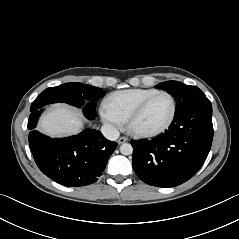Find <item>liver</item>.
<instances>
[{"label":"liver","mask_w":239,"mask_h":239,"mask_svg":"<svg viewBox=\"0 0 239 239\" xmlns=\"http://www.w3.org/2000/svg\"><path fill=\"white\" fill-rule=\"evenodd\" d=\"M80 113L67 105H56L40 120L38 129L49 136L77 134L83 127Z\"/></svg>","instance_id":"obj_1"}]
</instances>
